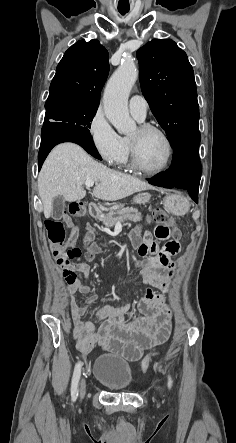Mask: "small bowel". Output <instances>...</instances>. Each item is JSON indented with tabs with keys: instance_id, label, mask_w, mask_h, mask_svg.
<instances>
[{
	"instance_id": "1",
	"label": "small bowel",
	"mask_w": 236,
	"mask_h": 443,
	"mask_svg": "<svg viewBox=\"0 0 236 443\" xmlns=\"http://www.w3.org/2000/svg\"><path fill=\"white\" fill-rule=\"evenodd\" d=\"M93 239L94 231L91 227H87L84 236L85 248L95 253L101 247L92 243ZM156 239L159 240L157 237ZM133 241L138 246L139 253L141 248L145 247L146 254H150L143 261L140 271L143 284L140 295L132 303L123 302L118 306L100 307L97 311V322L100 324L97 331L94 322L83 319L84 315L95 309L97 297L89 295L86 298V307L77 305L73 299L76 292L82 294L91 292V286L78 276V273H89L88 265L84 261L69 264L58 262L67 288L73 322L72 336L77 349L83 354L90 353L98 345L104 350L135 360L133 354L139 357L144 349L164 343L170 336L172 329L170 308L166 304L165 296L153 292L150 286L164 292L170 290V274L175 268L171 255L178 253L179 246L176 242L169 241L167 244L178 246L175 251L169 252L166 246L158 251L154 238L149 232L144 233L142 238L133 236ZM133 305L137 307L141 316L127 320L125 316Z\"/></svg>"
}]
</instances>
